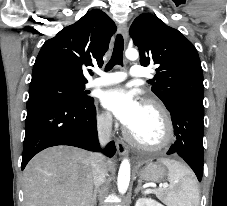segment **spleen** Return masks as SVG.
<instances>
[{"label": "spleen", "mask_w": 227, "mask_h": 206, "mask_svg": "<svg viewBox=\"0 0 227 206\" xmlns=\"http://www.w3.org/2000/svg\"><path fill=\"white\" fill-rule=\"evenodd\" d=\"M169 170L168 189H159V196L167 206H199L200 192L190 170L178 161L159 159Z\"/></svg>", "instance_id": "obj_1"}]
</instances>
